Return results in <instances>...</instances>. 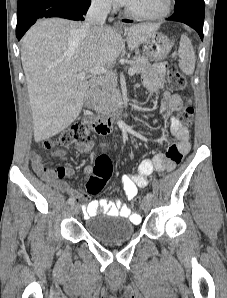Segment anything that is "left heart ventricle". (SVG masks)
Masks as SVG:
<instances>
[{
  "label": "left heart ventricle",
  "mask_w": 227,
  "mask_h": 298,
  "mask_svg": "<svg viewBox=\"0 0 227 298\" xmlns=\"http://www.w3.org/2000/svg\"><path fill=\"white\" fill-rule=\"evenodd\" d=\"M126 6L137 13L155 14L163 9L164 0H130Z\"/></svg>",
  "instance_id": "obj_1"
}]
</instances>
